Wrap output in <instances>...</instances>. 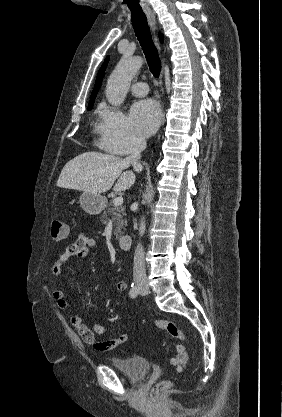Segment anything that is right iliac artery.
<instances>
[{
	"label": "right iliac artery",
	"instance_id": "right-iliac-artery-1",
	"mask_svg": "<svg viewBox=\"0 0 282 417\" xmlns=\"http://www.w3.org/2000/svg\"><path fill=\"white\" fill-rule=\"evenodd\" d=\"M139 294V288H137V286H135L133 283L131 285V289L129 291V296L130 298L134 299L138 296Z\"/></svg>",
	"mask_w": 282,
	"mask_h": 417
}]
</instances>
